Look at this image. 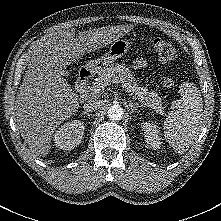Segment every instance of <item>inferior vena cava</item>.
Here are the masks:
<instances>
[{
  "label": "inferior vena cava",
  "mask_w": 221,
  "mask_h": 221,
  "mask_svg": "<svg viewBox=\"0 0 221 221\" xmlns=\"http://www.w3.org/2000/svg\"><path fill=\"white\" fill-rule=\"evenodd\" d=\"M103 104V101L97 97L91 98L85 102L83 108L86 112H92L100 108Z\"/></svg>",
  "instance_id": "602c4592"
}]
</instances>
